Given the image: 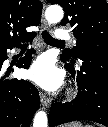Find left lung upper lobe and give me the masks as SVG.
<instances>
[{"label": "left lung upper lobe", "instance_id": "obj_1", "mask_svg": "<svg viewBox=\"0 0 108 127\" xmlns=\"http://www.w3.org/2000/svg\"><path fill=\"white\" fill-rule=\"evenodd\" d=\"M65 10L62 26L71 25L77 39L72 50L65 51L63 61L75 60L85 54L108 51V4L105 0H48Z\"/></svg>", "mask_w": 108, "mask_h": 127}]
</instances>
